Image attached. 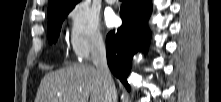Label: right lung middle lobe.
Listing matches in <instances>:
<instances>
[{
	"label": "right lung middle lobe",
	"mask_w": 221,
	"mask_h": 102,
	"mask_svg": "<svg viewBox=\"0 0 221 102\" xmlns=\"http://www.w3.org/2000/svg\"><path fill=\"white\" fill-rule=\"evenodd\" d=\"M73 9L67 8L57 12L54 16L48 19V41L50 44L55 43L58 39L61 25L68 13Z\"/></svg>",
	"instance_id": "right-lung-middle-lobe-1"
}]
</instances>
